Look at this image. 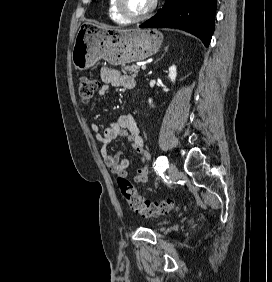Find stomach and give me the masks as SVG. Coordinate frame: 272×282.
Returning a JSON list of instances; mask_svg holds the SVG:
<instances>
[{
  "label": "stomach",
  "instance_id": "1",
  "mask_svg": "<svg viewBox=\"0 0 272 282\" xmlns=\"http://www.w3.org/2000/svg\"><path fill=\"white\" fill-rule=\"evenodd\" d=\"M162 34L155 29L128 30L101 24H84L80 27L72 47V64L82 71L100 59L112 65L142 61L161 47Z\"/></svg>",
  "mask_w": 272,
  "mask_h": 282
}]
</instances>
